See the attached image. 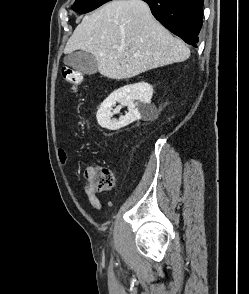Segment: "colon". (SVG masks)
Wrapping results in <instances>:
<instances>
[{"mask_svg": "<svg viewBox=\"0 0 249 294\" xmlns=\"http://www.w3.org/2000/svg\"><path fill=\"white\" fill-rule=\"evenodd\" d=\"M62 76L73 88L81 86L84 82V75L81 71L67 66L62 68ZM84 177L90 185L100 191L112 190L115 185L114 173L108 167L88 169L85 171Z\"/></svg>", "mask_w": 249, "mask_h": 294, "instance_id": "5ec220e1", "label": "colon"}]
</instances>
